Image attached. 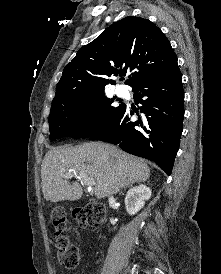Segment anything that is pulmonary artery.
Listing matches in <instances>:
<instances>
[{
  "mask_svg": "<svg viewBox=\"0 0 221 274\" xmlns=\"http://www.w3.org/2000/svg\"><path fill=\"white\" fill-rule=\"evenodd\" d=\"M116 93H117L118 96H125L127 94V91L124 87L118 86L116 88Z\"/></svg>",
  "mask_w": 221,
  "mask_h": 274,
  "instance_id": "pulmonary-artery-1",
  "label": "pulmonary artery"
}]
</instances>
